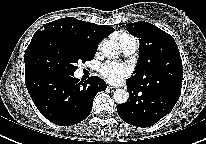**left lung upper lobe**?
<instances>
[{
    "label": "left lung upper lobe",
    "mask_w": 206,
    "mask_h": 144,
    "mask_svg": "<svg viewBox=\"0 0 206 144\" xmlns=\"http://www.w3.org/2000/svg\"><path fill=\"white\" fill-rule=\"evenodd\" d=\"M126 29L140 43L138 65L131 81L149 87L182 84V60L171 35L144 21L126 24Z\"/></svg>",
    "instance_id": "left-lung-upper-lobe-1"
}]
</instances>
